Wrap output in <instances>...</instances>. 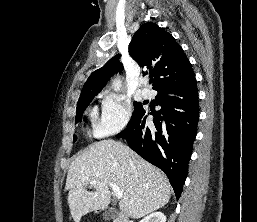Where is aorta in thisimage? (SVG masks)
Returning a JSON list of instances; mask_svg holds the SVG:
<instances>
[{
    "label": "aorta",
    "mask_w": 257,
    "mask_h": 222,
    "mask_svg": "<svg viewBox=\"0 0 257 222\" xmlns=\"http://www.w3.org/2000/svg\"><path fill=\"white\" fill-rule=\"evenodd\" d=\"M122 87V82L119 78H115L112 80V88L114 89V91L118 92L121 90Z\"/></svg>",
    "instance_id": "aorta-1"
}]
</instances>
